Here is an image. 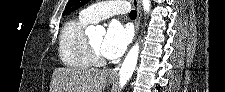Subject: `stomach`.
Returning a JSON list of instances; mask_svg holds the SVG:
<instances>
[{"mask_svg": "<svg viewBox=\"0 0 225 92\" xmlns=\"http://www.w3.org/2000/svg\"><path fill=\"white\" fill-rule=\"evenodd\" d=\"M113 79H114V78H113L112 76H110L109 80H110V81H113Z\"/></svg>", "mask_w": 225, "mask_h": 92, "instance_id": "stomach-1", "label": "stomach"}]
</instances>
